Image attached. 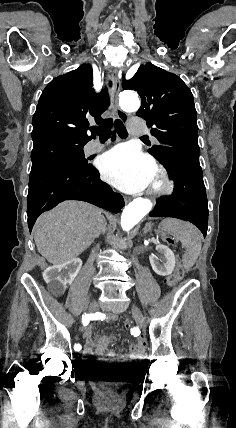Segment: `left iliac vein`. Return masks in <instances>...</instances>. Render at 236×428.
Listing matches in <instances>:
<instances>
[{"label":"left iliac vein","mask_w":236,"mask_h":428,"mask_svg":"<svg viewBox=\"0 0 236 428\" xmlns=\"http://www.w3.org/2000/svg\"><path fill=\"white\" fill-rule=\"evenodd\" d=\"M129 308L130 310H132V314L134 315L136 326L138 328H143L145 326V321L144 318L141 316L138 307H136L135 304H132Z\"/></svg>","instance_id":"1"}]
</instances>
